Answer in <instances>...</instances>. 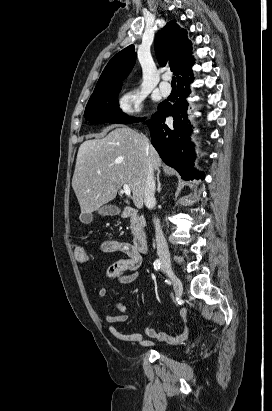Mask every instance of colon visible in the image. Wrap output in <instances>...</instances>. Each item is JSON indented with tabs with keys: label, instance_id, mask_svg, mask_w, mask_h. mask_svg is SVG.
Returning a JSON list of instances; mask_svg holds the SVG:
<instances>
[{
	"label": "colon",
	"instance_id": "colon-1",
	"mask_svg": "<svg viewBox=\"0 0 272 411\" xmlns=\"http://www.w3.org/2000/svg\"><path fill=\"white\" fill-rule=\"evenodd\" d=\"M74 253H75L76 260L81 263H85L89 260L87 251L85 250V248L81 246L76 247L74 250Z\"/></svg>",
	"mask_w": 272,
	"mask_h": 411
}]
</instances>
